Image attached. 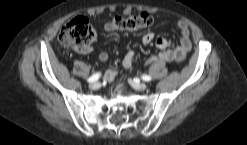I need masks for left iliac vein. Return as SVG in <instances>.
<instances>
[{"instance_id": "1", "label": "left iliac vein", "mask_w": 247, "mask_h": 145, "mask_svg": "<svg viewBox=\"0 0 247 145\" xmlns=\"http://www.w3.org/2000/svg\"><path fill=\"white\" fill-rule=\"evenodd\" d=\"M129 83L131 84V86L133 88H135L136 90H139V91H143V90H146L148 88L147 84L141 83V82H136V81H133L131 79H129Z\"/></svg>"}]
</instances>
